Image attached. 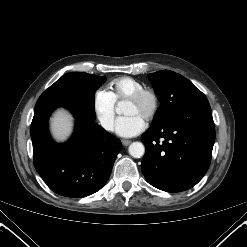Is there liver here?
Listing matches in <instances>:
<instances>
[{
    "label": "liver",
    "instance_id": "6515ba94",
    "mask_svg": "<svg viewBox=\"0 0 247 247\" xmlns=\"http://www.w3.org/2000/svg\"><path fill=\"white\" fill-rule=\"evenodd\" d=\"M73 118L71 114L64 110L58 109L51 118V130L57 141L66 140L72 132Z\"/></svg>",
    "mask_w": 247,
    "mask_h": 247
}]
</instances>
